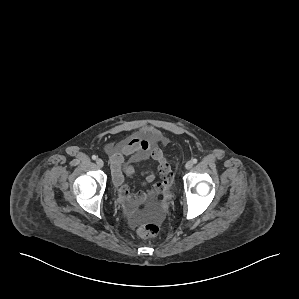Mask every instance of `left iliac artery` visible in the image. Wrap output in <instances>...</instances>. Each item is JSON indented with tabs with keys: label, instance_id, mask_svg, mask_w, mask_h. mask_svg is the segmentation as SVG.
<instances>
[{
	"label": "left iliac artery",
	"instance_id": "44dca946",
	"mask_svg": "<svg viewBox=\"0 0 299 299\" xmlns=\"http://www.w3.org/2000/svg\"><path fill=\"white\" fill-rule=\"evenodd\" d=\"M192 161H193L194 164H196L198 160L195 158Z\"/></svg>",
	"mask_w": 299,
	"mask_h": 299
}]
</instances>
